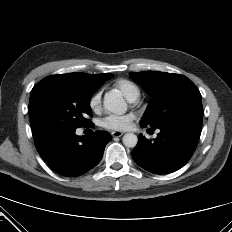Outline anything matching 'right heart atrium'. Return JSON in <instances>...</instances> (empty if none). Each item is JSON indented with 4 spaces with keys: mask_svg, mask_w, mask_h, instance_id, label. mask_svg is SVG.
I'll list each match as a JSON object with an SVG mask.
<instances>
[{
    "mask_svg": "<svg viewBox=\"0 0 232 232\" xmlns=\"http://www.w3.org/2000/svg\"><path fill=\"white\" fill-rule=\"evenodd\" d=\"M101 104V93L96 92L89 98L88 105L90 109L94 112H97Z\"/></svg>",
    "mask_w": 232,
    "mask_h": 232,
    "instance_id": "right-heart-atrium-1",
    "label": "right heart atrium"
}]
</instances>
